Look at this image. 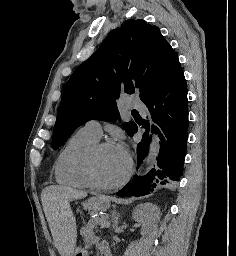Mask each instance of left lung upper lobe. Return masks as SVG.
<instances>
[{
  "label": "left lung upper lobe",
  "mask_w": 236,
  "mask_h": 256,
  "mask_svg": "<svg viewBox=\"0 0 236 256\" xmlns=\"http://www.w3.org/2000/svg\"><path fill=\"white\" fill-rule=\"evenodd\" d=\"M180 68L176 52L158 27L126 20L66 83L51 146L58 149L89 120L117 119L116 100L121 95L136 93L143 102ZM123 127L131 136L136 124Z\"/></svg>",
  "instance_id": "1"
}]
</instances>
